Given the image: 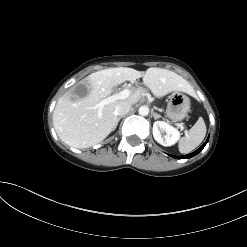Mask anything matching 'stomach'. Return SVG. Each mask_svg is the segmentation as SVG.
Returning a JSON list of instances; mask_svg holds the SVG:
<instances>
[{
  "label": "stomach",
  "mask_w": 247,
  "mask_h": 247,
  "mask_svg": "<svg viewBox=\"0 0 247 247\" xmlns=\"http://www.w3.org/2000/svg\"><path fill=\"white\" fill-rule=\"evenodd\" d=\"M189 111L190 99L180 92L172 93L167 103V117L173 121H181L187 116Z\"/></svg>",
  "instance_id": "1"
}]
</instances>
